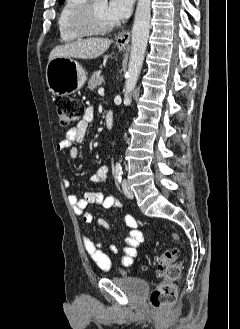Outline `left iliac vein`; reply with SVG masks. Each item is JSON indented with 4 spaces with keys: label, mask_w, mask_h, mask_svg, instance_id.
I'll return each mask as SVG.
<instances>
[{
    "label": "left iliac vein",
    "mask_w": 240,
    "mask_h": 329,
    "mask_svg": "<svg viewBox=\"0 0 240 329\" xmlns=\"http://www.w3.org/2000/svg\"><path fill=\"white\" fill-rule=\"evenodd\" d=\"M122 188L127 198L132 199L134 197L133 191L130 189V186L126 180H123Z\"/></svg>",
    "instance_id": "obj_1"
}]
</instances>
